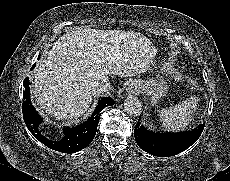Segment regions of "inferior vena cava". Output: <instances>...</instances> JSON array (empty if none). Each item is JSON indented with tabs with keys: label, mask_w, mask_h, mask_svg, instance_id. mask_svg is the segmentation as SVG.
<instances>
[{
	"label": "inferior vena cava",
	"mask_w": 230,
	"mask_h": 181,
	"mask_svg": "<svg viewBox=\"0 0 230 181\" xmlns=\"http://www.w3.org/2000/svg\"><path fill=\"white\" fill-rule=\"evenodd\" d=\"M111 86L110 82H96L91 86V93L93 96L97 97L100 96L108 91H110Z\"/></svg>",
	"instance_id": "obj_1"
}]
</instances>
